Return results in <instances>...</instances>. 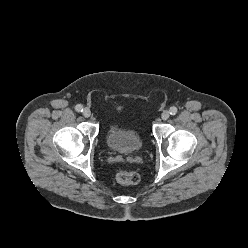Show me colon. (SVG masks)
<instances>
[{"instance_id":"1","label":"colon","mask_w":248,"mask_h":248,"mask_svg":"<svg viewBox=\"0 0 248 248\" xmlns=\"http://www.w3.org/2000/svg\"><path fill=\"white\" fill-rule=\"evenodd\" d=\"M116 180L122 185H137L140 182V175L135 171H120Z\"/></svg>"}]
</instances>
